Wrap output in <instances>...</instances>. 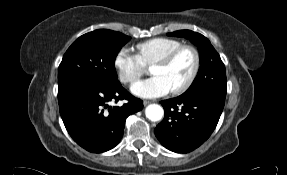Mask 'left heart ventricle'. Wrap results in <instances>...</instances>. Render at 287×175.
<instances>
[{"mask_svg": "<svg viewBox=\"0 0 287 175\" xmlns=\"http://www.w3.org/2000/svg\"><path fill=\"white\" fill-rule=\"evenodd\" d=\"M194 67V56L189 50H184L167 65H156L151 68L155 76L163 77L171 90L181 86L189 77Z\"/></svg>", "mask_w": 287, "mask_h": 175, "instance_id": "left-heart-ventricle-1", "label": "left heart ventricle"}]
</instances>
